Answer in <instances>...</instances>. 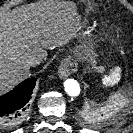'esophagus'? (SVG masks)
<instances>
[{"label":"esophagus","instance_id":"esophagus-1","mask_svg":"<svg viewBox=\"0 0 133 133\" xmlns=\"http://www.w3.org/2000/svg\"><path fill=\"white\" fill-rule=\"evenodd\" d=\"M77 70V64L70 61L63 62L59 67V77L65 79Z\"/></svg>","mask_w":133,"mask_h":133}]
</instances>
